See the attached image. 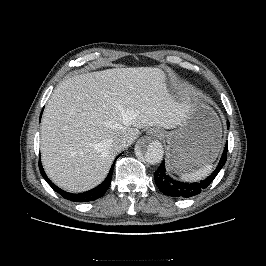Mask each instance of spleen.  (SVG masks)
<instances>
[{
  "label": "spleen",
  "mask_w": 266,
  "mask_h": 266,
  "mask_svg": "<svg viewBox=\"0 0 266 266\" xmlns=\"http://www.w3.org/2000/svg\"><path fill=\"white\" fill-rule=\"evenodd\" d=\"M212 169H213V165L208 164V165H205L199 168L198 170L188 172V173H183L181 175V178L185 181H198L208 176L211 173Z\"/></svg>",
  "instance_id": "obj_1"
}]
</instances>
